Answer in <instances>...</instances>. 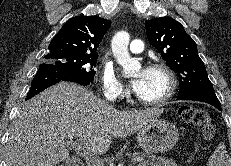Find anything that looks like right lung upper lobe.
I'll list each match as a JSON object with an SVG mask.
<instances>
[{
	"label": "right lung upper lobe",
	"instance_id": "1",
	"mask_svg": "<svg viewBox=\"0 0 231 166\" xmlns=\"http://www.w3.org/2000/svg\"><path fill=\"white\" fill-rule=\"evenodd\" d=\"M111 26L98 16H76L69 19L50 42L49 54L97 57V49Z\"/></svg>",
	"mask_w": 231,
	"mask_h": 166
}]
</instances>
